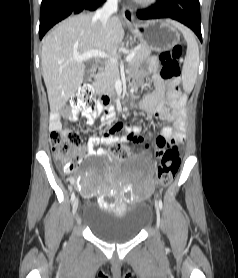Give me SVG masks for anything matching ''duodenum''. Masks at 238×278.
<instances>
[{
    "label": "duodenum",
    "mask_w": 238,
    "mask_h": 278,
    "mask_svg": "<svg viewBox=\"0 0 238 278\" xmlns=\"http://www.w3.org/2000/svg\"><path fill=\"white\" fill-rule=\"evenodd\" d=\"M99 71H100V68H99V67H97V66L93 67V69H92V71H91V81H92V82L96 79V77H97ZM99 99H100V102H102V103H104V104L109 103V96L106 95V94H100Z\"/></svg>",
    "instance_id": "obj_1"
}]
</instances>
